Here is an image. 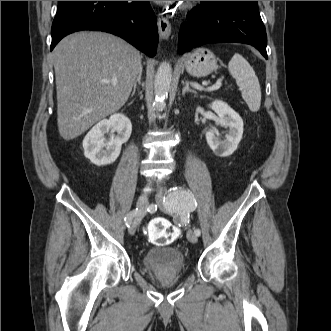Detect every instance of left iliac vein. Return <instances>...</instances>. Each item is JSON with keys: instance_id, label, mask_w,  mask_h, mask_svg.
<instances>
[{"instance_id": "left-iliac-vein-1", "label": "left iliac vein", "mask_w": 331, "mask_h": 331, "mask_svg": "<svg viewBox=\"0 0 331 331\" xmlns=\"http://www.w3.org/2000/svg\"><path fill=\"white\" fill-rule=\"evenodd\" d=\"M187 239L191 243H196L198 240V236L195 234V232L191 229L187 231Z\"/></svg>"}]
</instances>
